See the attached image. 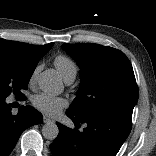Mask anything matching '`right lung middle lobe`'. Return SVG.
I'll return each mask as SVG.
<instances>
[{"instance_id": "1", "label": "right lung middle lobe", "mask_w": 156, "mask_h": 156, "mask_svg": "<svg viewBox=\"0 0 156 156\" xmlns=\"http://www.w3.org/2000/svg\"><path fill=\"white\" fill-rule=\"evenodd\" d=\"M35 67L26 66L17 59L0 53V95L7 97L11 93L24 99L20 91L27 89Z\"/></svg>"}]
</instances>
